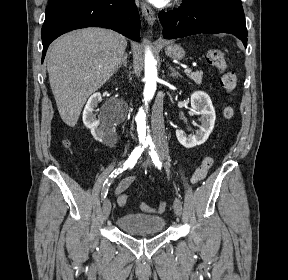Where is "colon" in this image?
<instances>
[{
    "label": "colon",
    "instance_id": "5ec220e1",
    "mask_svg": "<svg viewBox=\"0 0 288 280\" xmlns=\"http://www.w3.org/2000/svg\"><path fill=\"white\" fill-rule=\"evenodd\" d=\"M206 61L209 65L217 68L220 72L223 73L222 76V85L228 91H232L236 86V74L231 71H227L228 63L224 57L223 51L219 48H211L206 52ZM224 116L226 119H232L234 116V110L232 107L228 106L224 110ZM66 146L69 145L68 141H65ZM214 163V158L212 156H207L203 159L200 166L196 168L192 175V182L198 183L204 180ZM122 205H125L127 202V196H122L119 200ZM140 208L145 212L161 214L166 209V203L160 202L156 206H151L146 203H141Z\"/></svg>",
    "mask_w": 288,
    "mask_h": 280
}]
</instances>
